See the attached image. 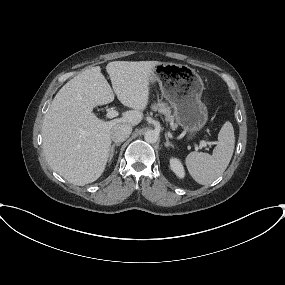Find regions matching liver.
I'll return each instance as SVG.
<instances>
[{"label":"liver","mask_w":285,"mask_h":285,"mask_svg":"<svg viewBox=\"0 0 285 285\" xmlns=\"http://www.w3.org/2000/svg\"><path fill=\"white\" fill-rule=\"evenodd\" d=\"M158 61H113L106 71L99 66L82 71L54 97L42 125L43 151L51 168L67 181L83 186L96 181L109 157L111 129L117 124L135 126L143 119L149 101V84ZM118 100L133 110L103 121L93 113L96 106Z\"/></svg>","instance_id":"obj_1"}]
</instances>
